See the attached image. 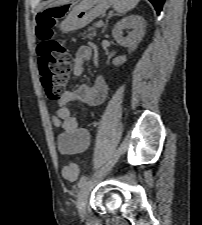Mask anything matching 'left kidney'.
Wrapping results in <instances>:
<instances>
[{
    "label": "left kidney",
    "mask_w": 202,
    "mask_h": 225,
    "mask_svg": "<svg viewBox=\"0 0 202 225\" xmlns=\"http://www.w3.org/2000/svg\"><path fill=\"white\" fill-rule=\"evenodd\" d=\"M146 22L139 15H130L120 20L113 29V37L118 44L127 47L129 53L133 52L145 35ZM132 29L127 37L123 36V30ZM126 56H119L113 59L112 63L116 66L126 62Z\"/></svg>",
    "instance_id": "5707ae66"
}]
</instances>
